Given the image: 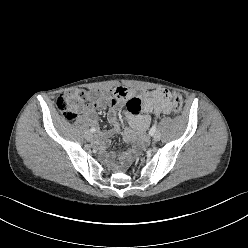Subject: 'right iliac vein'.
Here are the masks:
<instances>
[{
	"instance_id": "1",
	"label": "right iliac vein",
	"mask_w": 248,
	"mask_h": 248,
	"mask_svg": "<svg viewBox=\"0 0 248 248\" xmlns=\"http://www.w3.org/2000/svg\"><path fill=\"white\" fill-rule=\"evenodd\" d=\"M85 138L88 140V141H91L93 139V134L90 132V131H87L85 133Z\"/></svg>"
}]
</instances>
